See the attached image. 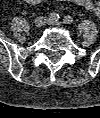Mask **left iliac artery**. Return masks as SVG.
Returning a JSON list of instances; mask_svg holds the SVG:
<instances>
[{
	"label": "left iliac artery",
	"mask_w": 100,
	"mask_h": 118,
	"mask_svg": "<svg viewBox=\"0 0 100 118\" xmlns=\"http://www.w3.org/2000/svg\"><path fill=\"white\" fill-rule=\"evenodd\" d=\"M73 22V18L71 16H65L64 19H63V23L65 24H72Z\"/></svg>",
	"instance_id": "1"
}]
</instances>
